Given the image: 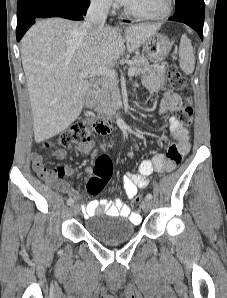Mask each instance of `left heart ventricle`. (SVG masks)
Wrapping results in <instances>:
<instances>
[{
    "instance_id": "left-heart-ventricle-1",
    "label": "left heart ventricle",
    "mask_w": 227,
    "mask_h": 298,
    "mask_svg": "<svg viewBox=\"0 0 227 298\" xmlns=\"http://www.w3.org/2000/svg\"><path fill=\"white\" fill-rule=\"evenodd\" d=\"M126 7L144 15L160 13L165 7V0H130Z\"/></svg>"
}]
</instances>
